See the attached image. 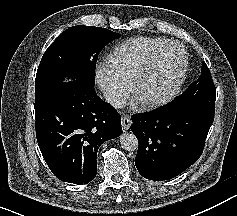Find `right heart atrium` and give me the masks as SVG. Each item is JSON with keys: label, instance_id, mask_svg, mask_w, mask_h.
<instances>
[{"label": "right heart atrium", "instance_id": "d8ad5b80", "mask_svg": "<svg viewBox=\"0 0 237 216\" xmlns=\"http://www.w3.org/2000/svg\"><path fill=\"white\" fill-rule=\"evenodd\" d=\"M98 77L102 86V89L107 98L114 102H122L128 95V87L108 76L103 63H100L98 68Z\"/></svg>", "mask_w": 237, "mask_h": 216}]
</instances>
